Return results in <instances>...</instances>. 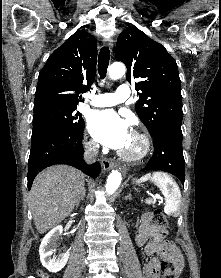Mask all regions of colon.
Instances as JSON below:
<instances>
[{
  "instance_id": "5ec220e1",
  "label": "colon",
  "mask_w": 221,
  "mask_h": 278,
  "mask_svg": "<svg viewBox=\"0 0 221 278\" xmlns=\"http://www.w3.org/2000/svg\"><path fill=\"white\" fill-rule=\"evenodd\" d=\"M150 219L153 225L162 228L167 229L168 228V221L165 217V215L162 213L161 210H154L150 214ZM161 270L165 278H174L176 274V267L174 263L171 261H163L161 263ZM47 278V277H44Z\"/></svg>"
}]
</instances>
